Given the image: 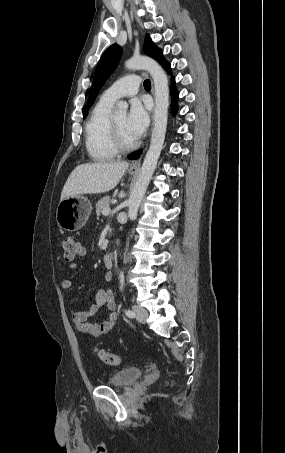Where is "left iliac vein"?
Listing matches in <instances>:
<instances>
[{"instance_id":"left-iliac-vein-1","label":"left iliac vein","mask_w":285,"mask_h":453,"mask_svg":"<svg viewBox=\"0 0 285 453\" xmlns=\"http://www.w3.org/2000/svg\"><path fill=\"white\" fill-rule=\"evenodd\" d=\"M133 310L135 312V315H136V319L140 322V323H145L146 322V319L148 317V312L146 309L140 307V306H133Z\"/></svg>"}]
</instances>
